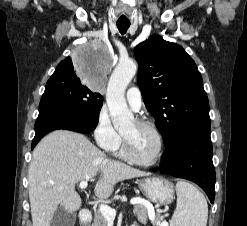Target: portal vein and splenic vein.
Returning a JSON list of instances; mask_svg holds the SVG:
<instances>
[{"label": "portal vein and splenic vein", "mask_w": 247, "mask_h": 226, "mask_svg": "<svg viewBox=\"0 0 247 226\" xmlns=\"http://www.w3.org/2000/svg\"><path fill=\"white\" fill-rule=\"evenodd\" d=\"M87 186H88V182H87V181H82V182H80V184H79V187H80L81 189H85V188H87ZM130 203H131L132 205H135V204H147V202H146L145 200H143V199H141V198H137V197L131 199ZM149 208H150V211H151V212H154L153 206L150 205ZM99 210H100V212L102 213V215H103L107 220H114V219H115V216H116V210H115V209H112V208H110V207L107 206V205L101 204V205L99 206ZM161 226H168V223H167V222H163V223L161 224Z\"/></svg>", "instance_id": "portal-vein-and-splenic-vein-1"}]
</instances>
